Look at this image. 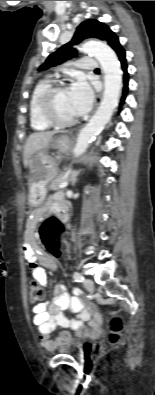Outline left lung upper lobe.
I'll use <instances>...</instances> for the list:
<instances>
[{"mask_svg": "<svg viewBox=\"0 0 155 395\" xmlns=\"http://www.w3.org/2000/svg\"><path fill=\"white\" fill-rule=\"evenodd\" d=\"M86 38H97L106 41L116 51L117 54L121 51H124L123 47L119 43L118 37L110 30L108 26L97 20L90 19L88 21L82 22L77 28L73 39L52 53L46 59L45 63L39 67V70H46L49 67L61 64L64 61L75 57L76 50L73 49L72 46L80 43Z\"/></svg>", "mask_w": 155, "mask_h": 395, "instance_id": "obj_1", "label": "left lung upper lobe"}]
</instances>
